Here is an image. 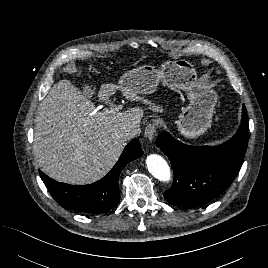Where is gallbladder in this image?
Here are the masks:
<instances>
[{
	"mask_svg": "<svg viewBox=\"0 0 268 268\" xmlns=\"http://www.w3.org/2000/svg\"><path fill=\"white\" fill-rule=\"evenodd\" d=\"M90 93H91V90L89 89V88H85L84 89V94H85V96H90Z\"/></svg>",
	"mask_w": 268,
	"mask_h": 268,
	"instance_id": "1",
	"label": "gallbladder"
}]
</instances>
